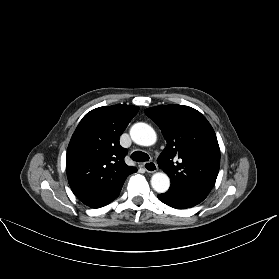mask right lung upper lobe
<instances>
[{
	"instance_id": "cb5924a9",
	"label": "right lung upper lobe",
	"mask_w": 279,
	"mask_h": 279,
	"mask_svg": "<svg viewBox=\"0 0 279 279\" xmlns=\"http://www.w3.org/2000/svg\"><path fill=\"white\" fill-rule=\"evenodd\" d=\"M139 107L113 105L88 112L77 126L66 155L69 185L85 205L100 208L118 197L137 169L126 165L119 138Z\"/></svg>"
}]
</instances>
